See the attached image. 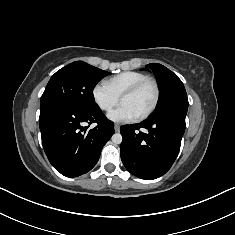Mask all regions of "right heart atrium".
Segmentation results:
<instances>
[{
    "mask_svg": "<svg viewBox=\"0 0 235 235\" xmlns=\"http://www.w3.org/2000/svg\"><path fill=\"white\" fill-rule=\"evenodd\" d=\"M92 98L95 104L104 112L111 111L119 102V97L104 81L94 85L92 88Z\"/></svg>",
    "mask_w": 235,
    "mask_h": 235,
    "instance_id": "right-heart-atrium-1",
    "label": "right heart atrium"
}]
</instances>
